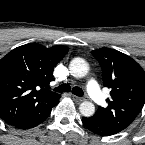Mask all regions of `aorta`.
<instances>
[{"label": "aorta", "instance_id": "762f6f07", "mask_svg": "<svg viewBox=\"0 0 145 145\" xmlns=\"http://www.w3.org/2000/svg\"><path fill=\"white\" fill-rule=\"evenodd\" d=\"M69 70L72 76L82 78L88 73V64L82 58H74L69 64ZM80 113L85 117H90L95 112V106L92 102L85 101L79 106Z\"/></svg>", "mask_w": 145, "mask_h": 145}]
</instances>
